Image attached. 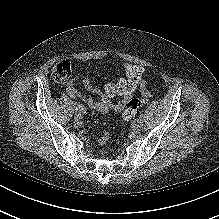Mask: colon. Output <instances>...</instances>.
Returning a JSON list of instances; mask_svg holds the SVG:
<instances>
[{"label": "colon", "instance_id": "1", "mask_svg": "<svg viewBox=\"0 0 219 219\" xmlns=\"http://www.w3.org/2000/svg\"><path fill=\"white\" fill-rule=\"evenodd\" d=\"M126 78L118 80L116 83H107L103 88V102L101 111L106 112L111 108L110 99L114 97L126 98L121 110L125 121H131L138 109L144 104L145 99L133 96L137 87L142 84L143 70L141 67L127 64L125 66ZM72 73L70 60L61 59L57 61L52 69V77L58 83L66 82Z\"/></svg>", "mask_w": 219, "mask_h": 219}]
</instances>
